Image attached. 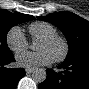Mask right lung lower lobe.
<instances>
[{
  "label": "right lung lower lobe",
  "mask_w": 89,
  "mask_h": 89,
  "mask_svg": "<svg viewBox=\"0 0 89 89\" xmlns=\"http://www.w3.org/2000/svg\"><path fill=\"white\" fill-rule=\"evenodd\" d=\"M14 61L12 53L0 57V89H15L18 81L25 75L23 68L9 69L4 67Z\"/></svg>",
  "instance_id": "1"
}]
</instances>
